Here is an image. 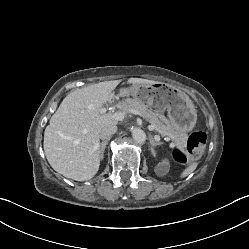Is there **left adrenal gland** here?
Masks as SVG:
<instances>
[{
	"label": "left adrenal gland",
	"mask_w": 249,
	"mask_h": 249,
	"mask_svg": "<svg viewBox=\"0 0 249 249\" xmlns=\"http://www.w3.org/2000/svg\"><path fill=\"white\" fill-rule=\"evenodd\" d=\"M150 144H151V153H152L153 156H155V150H154V148L156 146L162 145V143L161 142H156L154 140V138L151 136L150 137Z\"/></svg>",
	"instance_id": "left-adrenal-gland-1"
}]
</instances>
